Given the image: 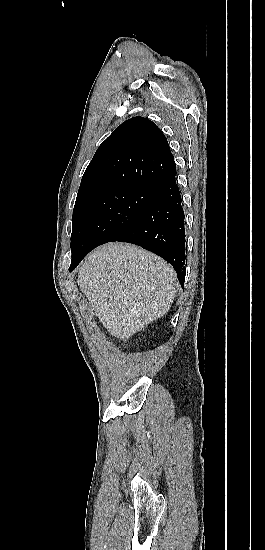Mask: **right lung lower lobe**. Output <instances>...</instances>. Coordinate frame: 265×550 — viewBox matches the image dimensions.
Masks as SVG:
<instances>
[{
	"mask_svg": "<svg viewBox=\"0 0 265 550\" xmlns=\"http://www.w3.org/2000/svg\"><path fill=\"white\" fill-rule=\"evenodd\" d=\"M175 176L176 168L161 181L141 215L110 242L133 243L161 256L174 267L178 280L184 287V212ZM79 262L70 267L69 271L74 270Z\"/></svg>",
	"mask_w": 265,
	"mask_h": 550,
	"instance_id": "1",
	"label": "right lung lower lobe"
}]
</instances>
